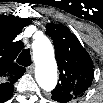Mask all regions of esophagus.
<instances>
[{"mask_svg": "<svg viewBox=\"0 0 103 103\" xmlns=\"http://www.w3.org/2000/svg\"><path fill=\"white\" fill-rule=\"evenodd\" d=\"M35 69V66L32 64L27 68L28 73H33Z\"/></svg>", "mask_w": 103, "mask_h": 103, "instance_id": "obj_1", "label": "esophagus"}]
</instances>
